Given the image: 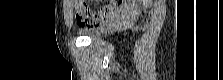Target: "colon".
Instances as JSON below:
<instances>
[{"mask_svg":"<svg viewBox=\"0 0 223 80\" xmlns=\"http://www.w3.org/2000/svg\"><path fill=\"white\" fill-rule=\"evenodd\" d=\"M124 0H111L107 5L93 11L83 0L75 1V17L80 25L96 26L104 22L116 7L123 5Z\"/></svg>","mask_w":223,"mask_h":80,"instance_id":"colon-1","label":"colon"}]
</instances>
